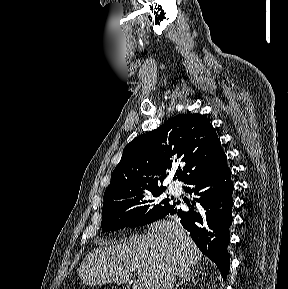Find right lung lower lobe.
Listing matches in <instances>:
<instances>
[{"instance_id":"obj_1","label":"right lung lower lobe","mask_w":288,"mask_h":289,"mask_svg":"<svg viewBox=\"0 0 288 289\" xmlns=\"http://www.w3.org/2000/svg\"><path fill=\"white\" fill-rule=\"evenodd\" d=\"M184 183L188 185L184 189L195 195L194 201L188 203L190 209L183 211L177 206L179 203H174L166 215H178L197 247L215 262L226 279L230 267L227 246L233 219L234 187L225 153L222 151L214 161L192 174Z\"/></svg>"}]
</instances>
